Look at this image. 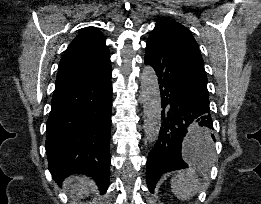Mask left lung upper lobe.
Here are the masks:
<instances>
[{"mask_svg":"<svg viewBox=\"0 0 261 204\" xmlns=\"http://www.w3.org/2000/svg\"><path fill=\"white\" fill-rule=\"evenodd\" d=\"M149 38H155L181 47L204 65L194 37L185 26L176 21L169 19L158 20Z\"/></svg>","mask_w":261,"mask_h":204,"instance_id":"left-lung-upper-lobe-1","label":"left lung upper lobe"}]
</instances>
